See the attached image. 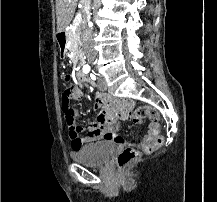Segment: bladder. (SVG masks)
<instances>
[{"label": "bladder", "instance_id": "obj_1", "mask_svg": "<svg viewBox=\"0 0 217 202\" xmlns=\"http://www.w3.org/2000/svg\"><path fill=\"white\" fill-rule=\"evenodd\" d=\"M114 149L115 145L113 142H98L82 147L73 153L72 158L76 159L84 166L102 165L106 159L110 158Z\"/></svg>", "mask_w": 217, "mask_h": 202}]
</instances>
